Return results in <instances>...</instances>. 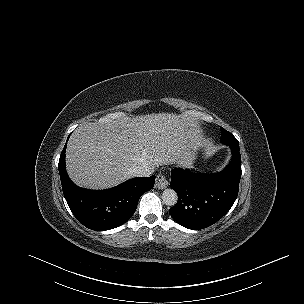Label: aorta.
Listing matches in <instances>:
<instances>
[{
	"label": "aorta",
	"mask_w": 304,
	"mask_h": 304,
	"mask_svg": "<svg viewBox=\"0 0 304 304\" xmlns=\"http://www.w3.org/2000/svg\"><path fill=\"white\" fill-rule=\"evenodd\" d=\"M162 200L167 206H174L178 201V195L173 189H165L162 193Z\"/></svg>",
	"instance_id": "762f6f07"
}]
</instances>
